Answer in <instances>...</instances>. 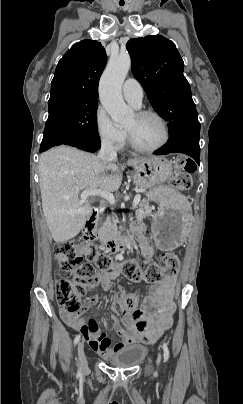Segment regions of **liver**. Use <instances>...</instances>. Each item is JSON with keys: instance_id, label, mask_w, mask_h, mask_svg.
Here are the masks:
<instances>
[{"instance_id": "1", "label": "liver", "mask_w": 243, "mask_h": 404, "mask_svg": "<svg viewBox=\"0 0 243 404\" xmlns=\"http://www.w3.org/2000/svg\"><path fill=\"white\" fill-rule=\"evenodd\" d=\"M147 160L133 158L128 166ZM105 170H111L112 174L104 176ZM39 178L43 214L49 232L58 244L75 238L92 212L90 202L80 200L81 190L100 188L103 192H117L122 174L112 162L102 166L98 156L59 146L41 154Z\"/></svg>"}]
</instances>
